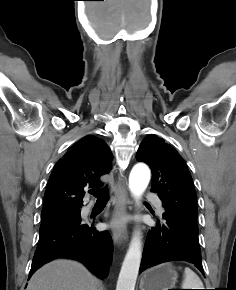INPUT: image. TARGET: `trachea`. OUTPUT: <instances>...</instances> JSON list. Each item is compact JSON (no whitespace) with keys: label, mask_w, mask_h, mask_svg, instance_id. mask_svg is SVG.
I'll return each instance as SVG.
<instances>
[{"label":"trachea","mask_w":236,"mask_h":290,"mask_svg":"<svg viewBox=\"0 0 236 290\" xmlns=\"http://www.w3.org/2000/svg\"><path fill=\"white\" fill-rule=\"evenodd\" d=\"M90 193L97 198L98 202H107L108 201V194L105 189L99 191L90 190Z\"/></svg>","instance_id":"1"}]
</instances>
